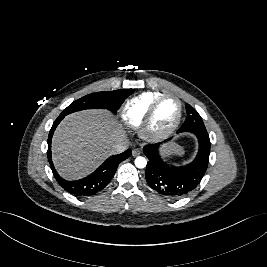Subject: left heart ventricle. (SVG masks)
I'll use <instances>...</instances> for the list:
<instances>
[{
  "instance_id": "1",
  "label": "left heart ventricle",
  "mask_w": 267,
  "mask_h": 267,
  "mask_svg": "<svg viewBox=\"0 0 267 267\" xmlns=\"http://www.w3.org/2000/svg\"><path fill=\"white\" fill-rule=\"evenodd\" d=\"M178 115V103L173 98L163 100L153 117L151 129L155 132L168 130L175 122Z\"/></svg>"
}]
</instances>
